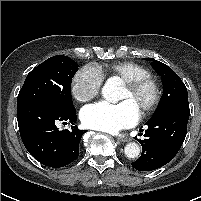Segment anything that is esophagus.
<instances>
[{
  "label": "esophagus",
  "instance_id": "obj_1",
  "mask_svg": "<svg viewBox=\"0 0 201 201\" xmlns=\"http://www.w3.org/2000/svg\"><path fill=\"white\" fill-rule=\"evenodd\" d=\"M117 140H118V142H127V141H129L130 139L127 138V137L119 136V137L117 138Z\"/></svg>",
  "mask_w": 201,
  "mask_h": 201
}]
</instances>
